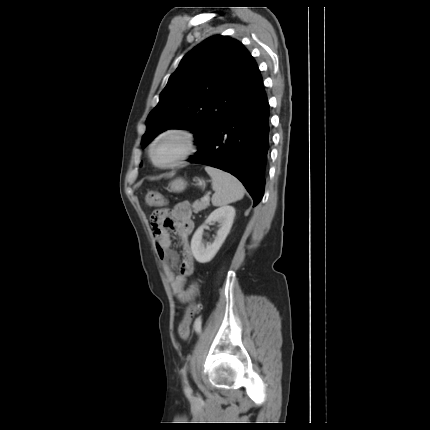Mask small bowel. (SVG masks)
<instances>
[{"instance_id": "c3829d8e", "label": "small bowel", "mask_w": 430, "mask_h": 430, "mask_svg": "<svg viewBox=\"0 0 430 430\" xmlns=\"http://www.w3.org/2000/svg\"><path fill=\"white\" fill-rule=\"evenodd\" d=\"M150 226L156 240L157 254L167 282L180 302H190L198 294V286L195 283L187 286V281L194 269L189 242L194 223L191 218L189 203L187 201L180 202L170 211H155L151 216ZM169 230H173L178 237L180 255L171 247ZM176 270L177 274H175ZM200 323L201 319L198 318L196 324L199 325ZM181 325L182 323L178 328L179 334Z\"/></svg>"}]
</instances>
